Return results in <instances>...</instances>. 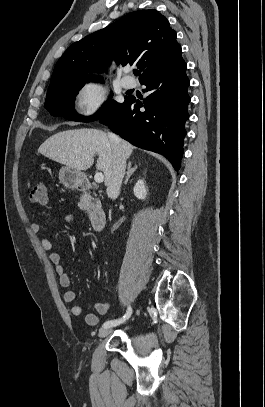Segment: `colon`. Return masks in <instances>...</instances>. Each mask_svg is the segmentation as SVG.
Returning <instances> with one entry per match:
<instances>
[{"instance_id": "1", "label": "colon", "mask_w": 265, "mask_h": 407, "mask_svg": "<svg viewBox=\"0 0 265 407\" xmlns=\"http://www.w3.org/2000/svg\"><path fill=\"white\" fill-rule=\"evenodd\" d=\"M30 199L34 203L45 204L48 200L47 185L44 181H37L30 192Z\"/></svg>"}]
</instances>
